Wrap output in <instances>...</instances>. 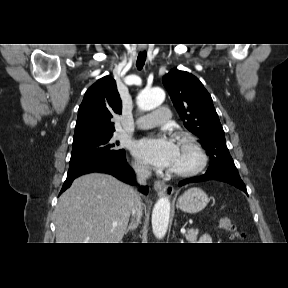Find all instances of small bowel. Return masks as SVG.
I'll use <instances>...</instances> for the list:
<instances>
[{
  "mask_svg": "<svg viewBox=\"0 0 288 288\" xmlns=\"http://www.w3.org/2000/svg\"><path fill=\"white\" fill-rule=\"evenodd\" d=\"M201 243H211L212 237L209 234H203L200 238Z\"/></svg>",
  "mask_w": 288,
  "mask_h": 288,
  "instance_id": "obj_1",
  "label": "small bowel"
}]
</instances>
